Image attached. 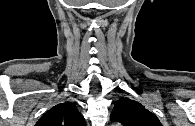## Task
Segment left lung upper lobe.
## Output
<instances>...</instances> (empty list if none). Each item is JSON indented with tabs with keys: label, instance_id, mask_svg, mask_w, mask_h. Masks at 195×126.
Masks as SVG:
<instances>
[{
	"label": "left lung upper lobe",
	"instance_id": "1",
	"mask_svg": "<svg viewBox=\"0 0 195 126\" xmlns=\"http://www.w3.org/2000/svg\"><path fill=\"white\" fill-rule=\"evenodd\" d=\"M110 119L123 126H162L159 119L143 105L125 97L115 103Z\"/></svg>",
	"mask_w": 195,
	"mask_h": 126
}]
</instances>
